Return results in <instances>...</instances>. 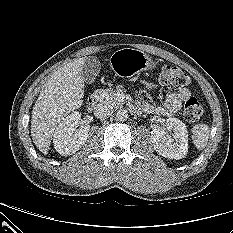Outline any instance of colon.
Wrapping results in <instances>:
<instances>
[{
	"label": "colon",
	"instance_id": "5ec220e1",
	"mask_svg": "<svg viewBox=\"0 0 233 233\" xmlns=\"http://www.w3.org/2000/svg\"><path fill=\"white\" fill-rule=\"evenodd\" d=\"M158 80L161 84L171 88L180 89L189 83V77L180 68L172 65H164L158 75ZM203 113V108L200 102L189 97L183 108V116L188 122H197Z\"/></svg>",
	"mask_w": 233,
	"mask_h": 233
}]
</instances>
